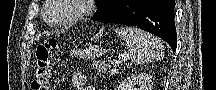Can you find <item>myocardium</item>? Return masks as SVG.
<instances>
[{
  "label": "myocardium",
  "instance_id": "myocardium-1",
  "mask_svg": "<svg viewBox=\"0 0 216 90\" xmlns=\"http://www.w3.org/2000/svg\"><path fill=\"white\" fill-rule=\"evenodd\" d=\"M89 3H97V0H50L47 5H52L50 11L44 12L46 25L55 30H62L83 20L91 11ZM62 5L73 8L72 15L65 21L57 22L52 19V15H57Z\"/></svg>",
  "mask_w": 216,
  "mask_h": 90
}]
</instances>
